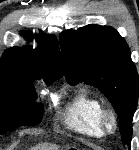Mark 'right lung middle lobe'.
I'll return each mask as SVG.
<instances>
[{
    "label": "right lung middle lobe",
    "mask_w": 139,
    "mask_h": 150,
    "mask_svg": "<svg viewBox=\"0 0 139 150\" xmlns=\"http://www.w3.org/2000/svg\"><path fill=\"white\" fill-rule=\"evenodd\" d=\"M33 81L32 77L21 74L0 73V134L40 123L43 107L34 101Z\"/></svg>",
    "instance_id": "1"
}]
</instances>
